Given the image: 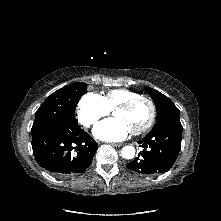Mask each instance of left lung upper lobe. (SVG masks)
<instances>
[{
	"mask_svg": "<svg viewBox=\"0 0 221 221\" xmlns=\"http://www.w3.org/2000/svg\"><path fill=\"white\" fill-rule=\"evenodd\" d=\"M146 90L150 93L157 109V122L154 128L166 123L181 124L180 111L167 96L150 87H146Z\"/></svg>",
	"mask_w": 221,
	"mask_h": 221,
	"instance_id": "1",
	"label": "left lung upper lobe"
}]
</instances>
